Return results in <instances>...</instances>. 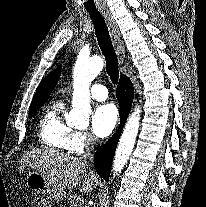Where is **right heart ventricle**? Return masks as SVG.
<instances>
[{"label":"right heart ventricle","mask_w":206,"mask_h":207,"mask_svg":"<svg viewBox=\"0 0 206 207\" xmlns=\"http://www.w3.org/2000/svg\"><path fill=\"white\" fill-rule=\"evenodd\" d=\"M63 103L55 102L39 122V140L43 146L58 151H73V129L62 116Z\"/></svg>","instance_id":"e07e8e85"}]
</instances>
